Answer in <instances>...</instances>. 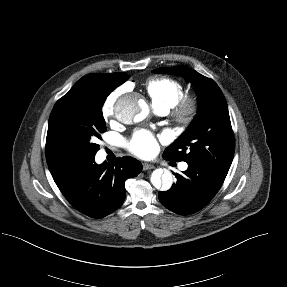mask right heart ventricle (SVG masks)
<instances>
[{"instance_id":"right-heart-ventricle-1","label":"right heart ventricle","mask_w":287,"mask_h":287,"mask_svg":"<svg viewBox=\"0 0 287 287\" xmlns=\"http://www.w3.org/2000/svg\"><path fill=\"white\" fill-rule=\"evenodd\" d=\"M145 88L153 106L167 111L174 107L183 96L181 82L169 77H152L146 81Z\"/></svg>"}]
</instances>
